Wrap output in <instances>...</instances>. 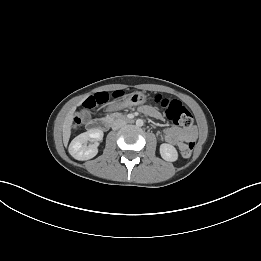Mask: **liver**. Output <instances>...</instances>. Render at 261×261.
<instances>
[{
	"instance_id": "liver-1",
	"label": "liver",
	"mask_w": 261,
	"mask_h": 261,
	"mask_svg": "<svg viewBox=\"0 0 261 261\" xmlns=\"http://www.w3.org/2000/svg\"><path fill=\"white\" fill-rule=\"evenodd\" d=\"M81 102H79L77 105L71 108V110L67 113L63 126H62V136H63V143L66 146L68 144L70 135H71V127L73 123L74 118V112L76 110V106H79Z\"/></svg>"
}]
</instances>
